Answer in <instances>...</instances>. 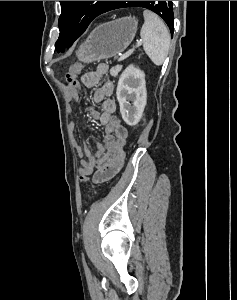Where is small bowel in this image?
I'll return each mask as SVG.
<instances>
[{"label":"small bowel","instance_id":"small-bowel-1","mask_svg":"<svg viewBox=\"0 0 237 300\" xmlns=\"http://www.w3.org/2000/svg\"><path fill=\"white\" fill-rule=\"evenodd\" d=\"M110 66L107 63H100L92 72L82 77V83L86 87H94L100 82L101 86L96 89L92 100L101 105V111L88 106V111L93 119L105 126V137L103 143L94 142L92 152L86 143L77 147L80 158L81 174L94 173L93 180L101 183L113 178L122 168L124 163V147L128 135L127 128L114 115L116 111L115 102L109 97L114 90L113 82L107 79ZM79 85L77 87L67 86L66 94L70 101L79 100ZM73 127V124H71Z\"/></svg>","mask_w":237,"mask_h":300}]
</instances>
